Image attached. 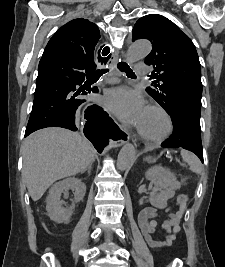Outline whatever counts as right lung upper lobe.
<instances>
[{"label": "right lung upper lobe", "instance_id": "right-lung-upper-lobe-1", "mask_svg": "<svg viewBox=\"0 0 225 267\" xmlns=\"http://www.w3.org/2000/svg\"><path fill=\"white\" fill-rule=\"evenodd\" d=\"M100 39L98 26L87 19L78 18L63 25L48 42L44 54H64L79 57L93 72L100 61L95 47Z\"/></svg>", "mask_w": 225, "mask_h": 267}]
</instances>
